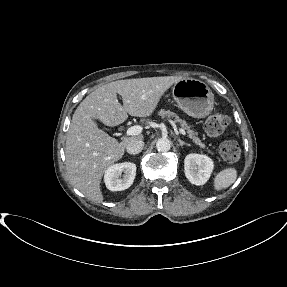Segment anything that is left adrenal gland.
<instances>
[{"label":"left adrenal gland","instance_id":"1","mask_svg":"<svg viewBox=\"0 0 287 287\" xmlns=\"http://www.w3.org/2000/svg\"><path fill=\"white\" fill-rule=\"evenodd\" d=\"M178 142H179V145L182 147L183 145H187V146H191L189 143H186L184 141H182L180 138H178Z\"/></svg>","mask_w":287,"mask_h":287}]
</instances>
